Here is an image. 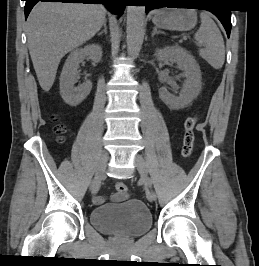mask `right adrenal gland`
Listing matches in <instances>:
<instances>
[{"mask_svg": "<svg viewBox=\"0 0 259 266\" xmlns=\"http://www.w3.org/2000/svg\"><path fill=\"white\" fill-rule=\"evenodd\" d=\"M103 27L104 29L101 32H99L98 35H101L102 33L107 34V20L104 21Z\"/></svg>", "mask_w": 259, "mask_h": 266, "instance_id": "2a0ac1e0", "label": "right adrenal gland"}]
</instances>
